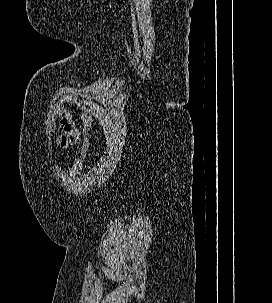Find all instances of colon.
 I'll return each instance as SVG.
<instances>
[{
	"instance_id": "colon-1",
	"label": "colon",
	"mask_w": 272,
	"mask_h": 303,
	"mask_svg": "<svg viewBox=\"0 0 272 303\" xmlns=\"http://www.w3.org/2000/svg\"><path fill=\"white\" fill-rule=\"evenodd\" d=\"M93 119L88 113L82 115L83 123V142L79 156L71 168V176H75L82 164L86 161L89 150H90V138L89 131L92 125Z\"/></svg>"
}]
</instances>
